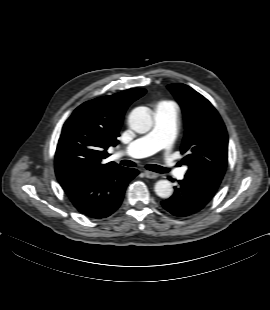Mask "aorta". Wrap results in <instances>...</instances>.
I'll return each mask as SVG.
<instances>
[{
    "mask_svg": "<svg viewBox=\"0 0 270 310\" xmlns=\"http://www.w3.org/2000/svg\"><path fill=\"white\" fill-rule=\"evenodd\" d=\"M153 124L150 110L146 107L135 108L129 115V125L139 134L147 133ZM155 193L161 198H169L173 193L172 184L168 180H159L154 186Z\"/></svg>",
    "mask_w": 270,
    "mask_h": 310,
    "instance_id": "762f6f07",
    "label": "aorta"
}]
</instances>
